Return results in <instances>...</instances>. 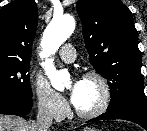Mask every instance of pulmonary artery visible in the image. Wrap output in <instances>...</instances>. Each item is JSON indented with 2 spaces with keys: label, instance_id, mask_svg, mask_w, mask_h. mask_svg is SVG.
Instances as JSON below:
<instances>
[{
  "label": "pulmonary artery",
  "instance_id": "pulmonary-artery-1",
  "mask_svg": "<svg viewBox=\"0 0 147 131\" xmlns=\"http://www.w3.org/2000/svg\"><path fill=\"white\" fill-rule=\"evenodd\" d=\"M59 56L64 62L67 63L73 62L76 58V52L73 45L69 43L63 45L59 50Z\"/></svg>",
  "mask_w": 147,
  "mask_h": 131
}]
</instances>
